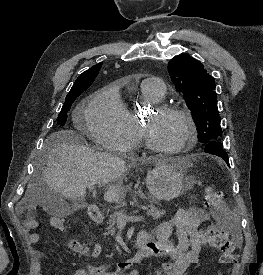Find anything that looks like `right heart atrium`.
Masks as SVG:
<instances>
[{
    "label": "right heart atrium",
    "instance_id": "right-heart-atrium-1",
    "mask_svg": "<svg viewBox=\"0 0 263 275\" xmlns=\"http://www.w3.org/2000/svg\"><path fill=\"white\" fill-rule=\"evenodd\" d=\"M91 137L101 146L115 152L130 146V130L124 117L123 103L114 88H104L91 99L85 113Z\"/></svg>",
    "mask_w": 263,
    "mask_h": 275
}]
</instances>
